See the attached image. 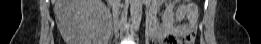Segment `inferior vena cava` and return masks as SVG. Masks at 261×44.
Masks as SVG:
<instances>
[{"label": "inferior vena cava", "instance_id": "inferior-vena-cava-1", "mask_svg": "<svg viewBox=\"0 0 261 44\" xmlns=\"http://www.w3.org/2000/svg\"><path fill=\"white\" fill-rule=\"evenodd\" d=\"M116 1H119V0H116ZM113 15H114V18L117 19L118 15H119V9L118 7H115L113 9Z\"/></svg>", "mask_w": 261, "mask_h": 44}]
</instances>
